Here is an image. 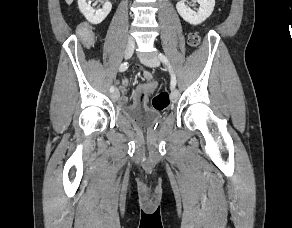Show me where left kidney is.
I'll list each match as a JSON object with an SVG mask.
<instances>
[{
    "label": "left kidney",
    "instance_id": "obj_1",
    "mask_svg": "<svg viewBox=\"0 0 292 228\" xmlns=\"http://www.w3.org/2000/svg\"><path fill=\"white\" fill-rule=\"evenodd\" d=\"M186 1H179L176 9L179 15L192 25H198L204 22L212 14L215 6V0H196L200 5L199 10L196 12L186 5Z\"/></svg>",
    "mask_w": 292,
    "mask_h": 228
}]
</instances>
